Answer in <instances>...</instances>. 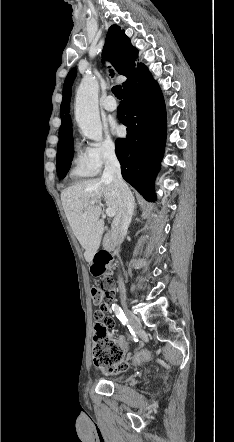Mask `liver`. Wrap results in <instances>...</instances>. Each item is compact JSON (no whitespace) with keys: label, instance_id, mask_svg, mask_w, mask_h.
I'll return each mask as SVG.
<instances>
[{"label":"liver","instance_id":"obj_1","mask_svg":"<svg viewBox=\"0 0 234 442\" xmlns=\"http://www.w3.org/2000/svg\"><path fill=\"white\" fill-rule=\"evenodd\" d=\"M101 200L117 214L119 194L112 181L91 179L61 192L66 217L74 235L85 249L84 257L88 263L92 262L97 253L104 231V221L100 219Z\"/></svg>","mask_w":234,"mask_h":442}]
</instances>
